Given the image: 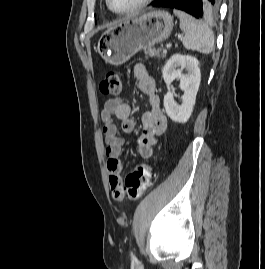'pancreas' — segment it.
Listing matches in <instances>:
<instances>
[{"label": "pancreas", "instance_id": "pancreas-1", "mask_svg": "<svg viewBox=\"0 0 265 269\" xmlns=\"http://www.w3.org/2000/svg\"><path fill=\"white\" fill-rule=\"evenodd\" d=\"M146 58L154 57V58H165L166 53H161V49H149L148 51H145Z\"/></svg>", "mask_w": 265, "mask_h": 269}]
</instances>
